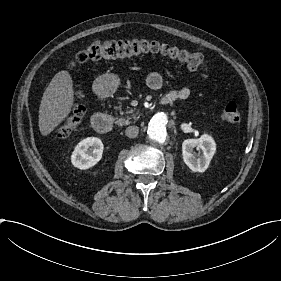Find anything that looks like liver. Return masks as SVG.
<instances>
[{
  "label": "liver",
  "instance_id": "1",
  "mask_svg": "<svg viewBox=\"0 0 281 281\" xmlns=\"http://www.w3.org/2000/svg\"><path fill=\"white\" fill-rule=\"evenodd\" d=\"M73 102L72 77L68 71H60L44 91L39 107L38 124L43 136L50 134L68 116Z\"/></svg>",
  "mask_w": 281,
  "mask_h": 281
}]
</instances>
